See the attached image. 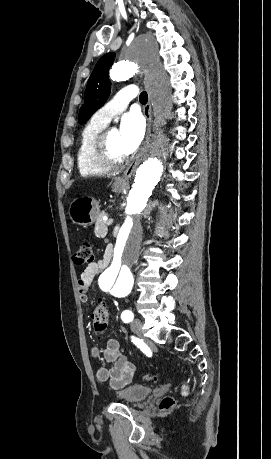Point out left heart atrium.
Here are the masks:
<instances>
[{
    "mask_svg": "<svg viewBox=\"0 0 271 459\" xmlns=\"http://www.w3.org/2000/svg\"><path fill=\"white\" fill-rule=\"evenodd\" d=\"M145 119L137 112L124 115L120 123V134L127 153L135 151L144 139Z\"/></svg>",
    "mask_w": 271,
    "mask_h": 459,
    "instance_id": "left-heart-atrium-1",
    "label": "left heart atrium"
}]
</instances>
